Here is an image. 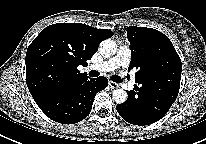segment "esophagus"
Returning <instances> with one entry per match:
<instances>
[{
  "instance_id": "34e87169",
  "label": "esophagus",
  "mask_w": 206,
  "mask_h": 144,
  "mask_svg": "<svg viewBox=\"0 0 206 144\" xmlns=\"http://www.w3.org/2000/svg\"><path fill=\"white\" fill-rule=\"evenodd\" d=\"M108 85H109V87L112 88V89H115V88L118 87V84L115 83V82H113V81H109Z\"/></svg>"
}]
</instances>
